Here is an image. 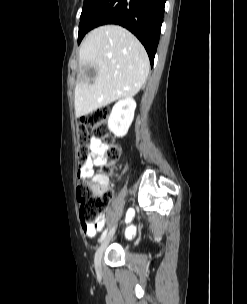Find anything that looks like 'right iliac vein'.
Masks as SVG:
<instances>
[{
  "label": "right iliac vein",
  "instance_id": "1",
  "mask_svg": "<svg viewBox=\"0 0 247 304\" xmlns=\"http://www.w3.org/2000/svg\"><path fill=\"white\" fill-rule=\"evenodd\" d=\"M117 225H114L112 229L109 231V233L105 236L104 240L102 241L100 247L98 248L96 254H95V266L97 269L101 268V260H102V255L108 246L111 238L113 237L115 230H116Z\"/></svg>",
  "mask_w": 247,
  "mask_h": 304
}]
</instances>
